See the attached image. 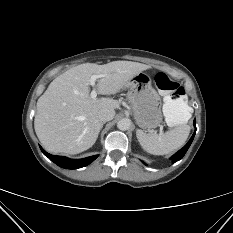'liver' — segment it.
<instances>
[{
  "label": "liver",
  "mask_w": 233,
  "mask_h": 233,
  "mask_svg": "<svg viewBox=\"0 0 233 233\" xmlns=\"http://www.w3.org/2000/svg\"><path fill=\"white\" fill-rule=\"evenodd\" d=\"M149 68L131 61L84 63L56 77L37 101L34 128L44 148L52 153L78 154L96 142L102 128L98 112L114 110L119 102L103 97L92 99L89 94L92 75H104L96 90L101 95H112L137 73Z\"/></svg>",
  "instance_id": "liver-1"
}]
</instances>
